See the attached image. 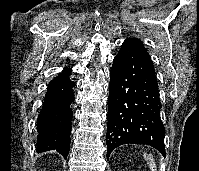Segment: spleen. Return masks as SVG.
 Here are the masks:
<instances>
[{
	"label": "spleen",
	"mask_w": 199,
	"mask_h": 171,
	"mask_svg": "<svg viewBox=\"0 0 199 171\" xmlns=\"http://www.w3.org/2000/svg\"><path fill=\"white\" fill-rule=\"evenodd\" d=\"M144 157L151 168V171H156V164L152 155L144 154Z\"/></svg>",
	"instance_id": "obj_1"
}]
</instances>
